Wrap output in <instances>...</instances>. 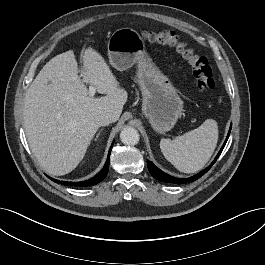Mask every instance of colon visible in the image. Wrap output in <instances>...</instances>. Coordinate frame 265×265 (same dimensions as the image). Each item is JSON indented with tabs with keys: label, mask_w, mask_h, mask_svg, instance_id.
Masks as SVG:
<instances>
[{
	"label": "colon",
	"mask_w": 265,
	"mask_h": 265,
	"mask_svg": "<svg viewBox=\"0 0 265 265\" xmlns=\"http://www.w3.org/2000/svg\"><path fill=\"white\" fill-rule=\"evenodd\" d=\"M142 38L150 43L173 47L191 66L199 92L209 93L214 89L215 83L207 58L183 42L175 32L146 30L142 32Z\"/></svg>",
	"instance_id": "colon-1"
}]
</instances>
